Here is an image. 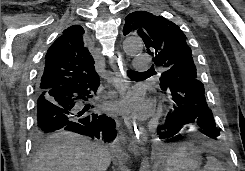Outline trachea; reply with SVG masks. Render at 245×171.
<instances>
[{"mask_svg": "<svg viewBox=\"0 0 245 171\" xmlns=\"http://www.w3.org/2000/svg\"><path fill=\"white\" fill-rule=\"evenodd\" d=\"M139 74H141V72H136V71H131V70L127 71V75L129 77H133V76H136V75H139Z\"/></svg>", "mask_w": 245, "mask_h": 171, "instance_id": "obj_1", "label": "trachea"}]
</instances>
